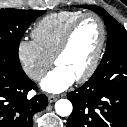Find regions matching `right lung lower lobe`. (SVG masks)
<instances>
[{
  "mask_svg": "<svg viewBox=\"0 0 127 127\" xmlns=\"http://www.w3.org/2000/svg\"><path fill=\"white\" fill-rule=\"evenodd\" d=\"M37 90L23 70H14L0 62V127H33L32 117L48 105L45 95L27 98Z\"/></svg>",
  "mask_w": 127,
  "mask_h": 127,
  "instance_id": "1",
  "label": "right lung lower lobe"
}]
</instances>
